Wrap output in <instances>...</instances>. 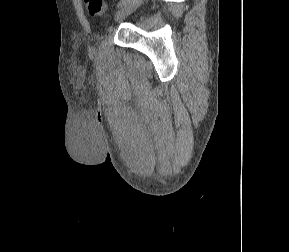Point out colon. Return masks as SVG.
<instances>
[{"mask_svg":"<svg viewBox=\"0 0 289 252\" xmlns=\"http://www.w3.org/2000/svg\"><path fill=\"white\" fill-rule=\"evenodd\" d=\"M84 3L89 14L92 16H101L107 10L104 0H84Z\"/></svg>","mask_w":289,"mask_h":252,"instance_id":"5ec220e1","label":"colon"}]
</instances>
